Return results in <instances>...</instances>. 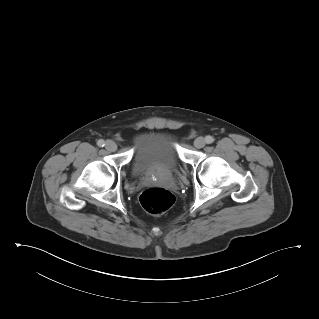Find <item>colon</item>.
<instances>
[{
	"instance_id": "colon-1",
	"label": "colon",
	"mask_w": 319,
	"mask_h": 319,
	"mask_svg": "<svg viewBox=\"0 0 319 319\" xmlns=\"http://www.w3.org/2000/svg\"><path fill=\"white\" fill-rule=\"evenodd\" d=\"M140 204L143 209L153 216H159L168 211L175 203L174 195L161 187H150L140 195Z\"/></svg>"
}]
</instances>
